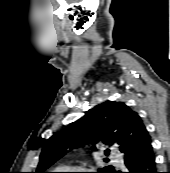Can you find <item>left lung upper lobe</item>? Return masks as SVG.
I'll return each instance as SVG.
<instances>
[{"label":"left lung upper lobe","mask_w":170,"mask_h":173,"mask_svg":"<svg viewBox=\"0 0 170 173\" xmlns=\"http://www.w3.org/2000/svg\"><path fill=\"white\" fill-rule=\"evenodd\" d=\"M150 141L145 125L135 111L123 102L106 101L47 140L35 173H46V169L68 150L84 144L102 143L109 147L115 145L122 153L127 154ZM92 150L95 151L96 147ZM109 153L110 150L107 149L105 154L108 156ZM114 170L109 165L99 169L97 173H113Z\"/></svg>","instance_id":"left-lung-upper-lobe-1"}]
</instances>
